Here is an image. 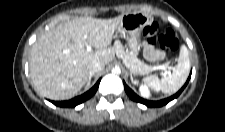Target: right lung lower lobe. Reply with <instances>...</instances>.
Returning a JSON list of instances; mask_svg holds the SVG:
<instances>
[{"label":"right lung lower lobe","mask_w":225,"mask_h":132,"mask_svg":"<svg viewBox=\"0 0 225 132\" xmlns=\"http://www.w3.org/2000/svg\"><path fill=\"white\" fill-rule=\"evenodd\" d=\"M99 83H100V79L89 91H87L86 93H84V94H82L78 97H75L71 100L61 101V102L53 101L52 103L54 105L60 106V107H75L76 105H78V104L86 101L87 99L91 98L95 94V92L97 91Z\"/></svg>","instance_id":"right-lung-lower-lobe-1"}]
</instances>
